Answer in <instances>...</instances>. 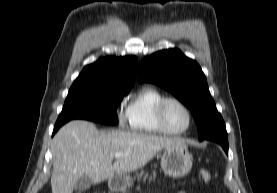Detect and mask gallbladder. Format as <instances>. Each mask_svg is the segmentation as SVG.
Returning <instances> with one entry per match:
<instances>
[{
    "mask_svg": "<svg viewBox=\"0 0 277 193\" xmlns=\"http://www.w3.org/2000/svg\"><path fill=\"white\" fill-rule=\"evenodd\" d=\"M93 182L87 176H83L78 179L74 185V189L81 193L82 191L88 190L92 186Z\"/></svg>",
    "mask_w": 277,
    "mask_h": 193,
    "instance_id": "gallbladder-1",
    "label": "gallbladder"
}]
</instances>
